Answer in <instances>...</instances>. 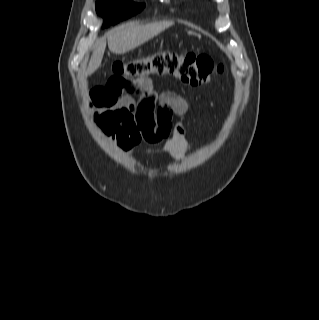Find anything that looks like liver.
Listing matches in <instances>:
<instances>
[{
	"label": "liver",
	"mask_w": 319,
	"mask_h": 320,
	"mask_svg": "<svg viewBox=\"0 0 319 320\" xmlns=\"http://www.w3.org/2000/svg\"><path fill=\"white\" fill-rule=\"evenodd\" d=\"M174 23L171 21H162L149 23L146 25H137L129 23L112 30L107 36L109 50L115 54L129 52L144 44L151 38L157 36L165 29L171 27ZM106 48V39H100L96 42L91 59L88 64L87 74H93L101 65Z\"/></svg>",
	"instance_id": "liver-1"
}]
</instances>
